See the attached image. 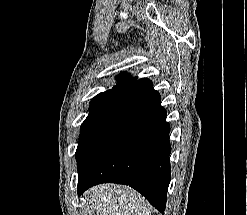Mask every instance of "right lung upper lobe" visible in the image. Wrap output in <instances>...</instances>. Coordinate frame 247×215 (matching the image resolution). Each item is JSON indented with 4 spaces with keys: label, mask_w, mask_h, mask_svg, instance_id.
<instances>
[{
    "label": "right lung upper lobe",
    "mask_w": 247,
    "mask_h": 215,
    "mask_svg": "<svg viewBox=\"0 0 247 215\" xmlns=\"http://www.w3.org/2000/svg\"><path fill=\"white\" fill-rule=\"evenodd\" d=\"M127 76H128L127 73H121V75L117 77V79L119 80V83L110 90H117V89L126 90L127 88L131 87L132 85H134L135 83L139 81L137 80V77L127 78Z\"/></svg>",
    "instance_id": "cb5924a9"
}]
</instances>
